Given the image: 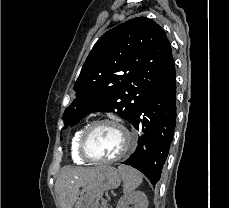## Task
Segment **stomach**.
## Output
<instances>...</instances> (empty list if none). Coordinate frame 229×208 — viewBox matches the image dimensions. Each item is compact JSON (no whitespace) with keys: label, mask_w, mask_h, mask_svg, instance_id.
Listing matches in <instances>:
<instances>
[{"label":"stomach","mask_w":229,"mask_h":208,"mask_svg":"<svg viewBox=\"0 0 229 208\" xmlns=\"http://www.w3.org/2000/svg\"><path fill=\"white\" fill-rule=\"evenodd\" d=\"M121 174L113 166H105L95 180L82 186L77 194L73 208H99L100 198L106 190H115L120 186Z\"/></svg>","instance_id":"1"}]
</instances>
